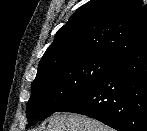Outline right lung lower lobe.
Wrapping results in <instances>:
<instances>
[{
    "label": "right lung lower lobe",
    "instance_id": "right-lung-lower-lobe-1",
    "mask_svg": "<svg viewBox=\"0 0 147 131\" xmlns=\"http://www.w3.org/2000/svg\"><path fill=\"white\" fill-rule=\"evenodd\" d=\"M58 112L83 114L118 131H147V43Z\"/></svg>",
    "mask_w": 147,
    "mask_h": 131
}]
</instances>
